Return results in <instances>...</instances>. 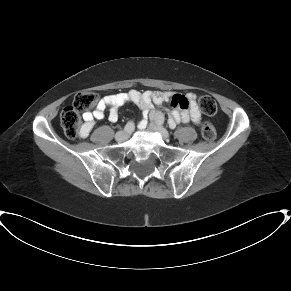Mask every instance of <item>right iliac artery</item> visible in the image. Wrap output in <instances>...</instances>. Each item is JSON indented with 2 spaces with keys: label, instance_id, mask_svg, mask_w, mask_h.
Wrapping results in <instances>:
<instances>
[{
  "label": "right iliac artery",
  "instance_id": "82829eb1",
  "mask_svg": "<svg viewBox=\"0 0 291 291\" xmlns=\"http://www.w3.org/2000/svg\"><path fill=\"white\" fill-rule=\"evenodd\" d=\"M133 129H134V123L132 121H129L124 127V130L126 132H131L133 131Z\"/></svg>",
  "mask_w": 291,
  "mask_h": 291
}]
</instances>
